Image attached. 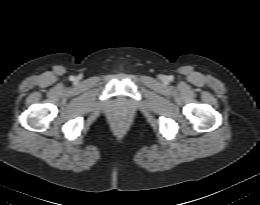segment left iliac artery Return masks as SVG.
Returning a JSON list of instances; mask_svg holds the SVG:
<instances>
[{
  "instance_id": "left-iliac-artery-1",
  "label": "left iliac artery",
  "mask_w": 260,
  "mask_h": 205,
  "mask_svg": "<svg viewBox=\"0 0 260 205\" xmlns=\"http://www.w3.org/2000/svg\"><path fill=\"white\" fill-rule=\"evenodd\" d=\"M169 80L172 81L173 80V76H169Z\"/></svg>"
}]
</instances>
